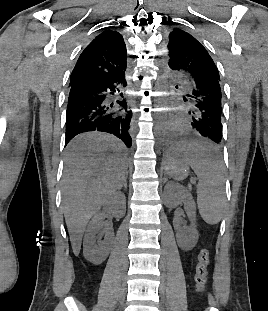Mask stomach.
<instances>
[{"label": "stomach", "mask_w": 268, "mask_h": 311, "mask_svg": "<svg viewBox=\"0 0 268 311\" xmlns=\"http://www.w3.org/2000/svg\"><path fill=\"white\" fill-rule=\"evenodd\" d=\"M190 147H173L166 161V171L175 180H183L189 174Z\"/></svg>", "instance_id": "obj_1"}]
</instances>
